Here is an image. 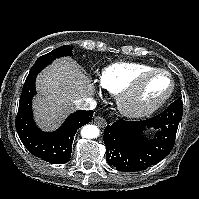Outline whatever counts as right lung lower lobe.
<instances>
[{
  "instance_id": "right-lung-lower-lobe-1",
  "label": "right lung lower lobe",
  "mask_w": 199,
  "mask_h": 199,
  "mask_svg": "<svg viewBox=\"0 0 199 199\" xmlns=\"http://www.w3.org/2000/svg\"><path fill=\"white\" fill-rule=\"evenodd\" d=\"M51 62L33 65L23 86L19 110L15 120L18 135L34 156L52 164H64L70 160L72 143L77 129L89 123L94 111H77L71 114L55 132H43L34 123L32 97L36 94L37 74Z\"/></svg>"
}]
</instances>
